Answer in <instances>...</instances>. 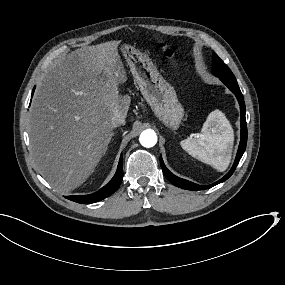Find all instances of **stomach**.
Listing matches in <instances>:
<instances>
[{
  "label": "stomach",
  "mask_w": 285,
  "mask_h": 285,
  "mask_svg": "<svg viewBox=\"0 0 285 285\" xmlns=\"http://www.w3.org/2000/svg\"><path fill=\"white\" fill-rule=\"evenodd\" d=\"M131 73L154 116L172 131L179 129L184 109L174 88L166 82L151 60L131 46L123 47Z\"/></svg>",
  "instance_id": "stomach-1"
}]
</instances>
